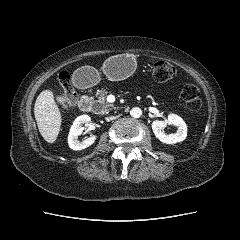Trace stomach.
<instances>
[{
	"label": "stomach",
	"mask_w": 240,
	"mask_h": 240,
	"mask_svg": "<svg viewBox=\"0 0 240 240\" xmlns=\"http://www.w3.org/2000/svg\"><path fill=\"white\" fill-rule=\"evenodd\" d=\"M136 69L135 58L131 55L123 54L112 56L107 59L102 66V73L112 81H120L131 76ZM89 83L98 79L99 73L90 67H82L76 71Z\"/></svg>",
	"instance_id": "0dacf381"
}]
</instances>
